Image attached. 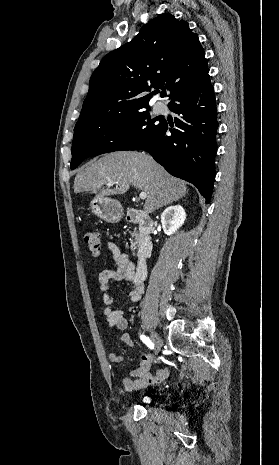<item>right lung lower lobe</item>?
Segmentation results:
<instances>
[{"label":"right lung lower lobe","mask_w":279,"mask_h":465,"mask_svg":"<svg viewBox=\"0 0 279 465\" xmlns=\"http://www.w3.org/2000/svg\"><path fill=\"white\" fill-rule=\"evenodd\" d=\"M178 130H169L167 122L149 143L128 146L124 150L149 152L171 175L195 185L209 203L215 180L216 101L210 77L192 85L172 98L168 104ZM168 131L171 135H168Z\"/></svg>","instance_id":"1"}]
</instances>
